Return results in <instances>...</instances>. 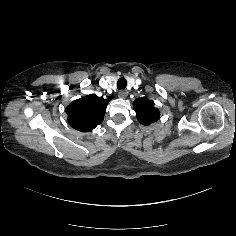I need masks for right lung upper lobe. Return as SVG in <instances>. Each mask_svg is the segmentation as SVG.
Masks as SVG:
<instances>
[{"mask_svg":"<svg viewBox=\"0 0 236 236\" xmlns=\"http://www.w3.org/2000/svg\"><path fill=\"white\" fill-rule=\"evenodd\" d=\"M110 100L111 98L104 99L95 94L74 100L66 108L69 124L81 132L93 130L102 123Z\"/></svg>","mask_w":236,"mask_h":236,"instance_id":"cb5924a9","label":"right lung upper lobe"}]
</instances>
